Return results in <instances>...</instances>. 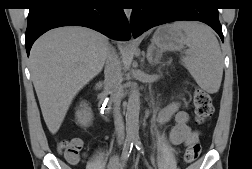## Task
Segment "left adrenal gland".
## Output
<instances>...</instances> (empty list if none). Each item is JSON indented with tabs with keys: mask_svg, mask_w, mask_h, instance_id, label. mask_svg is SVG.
Returning a JSON list of instances; mask_svg holds the SVG:
<instances>
[{
	"mask_svg": "<svg viewBox=\"0 0 252 169\" xmlns=\"http://www.w3.org/2000/svg\"><path fill=\"white\" fill-rule=\"evenodd\" d=\"M161 56H162V53L155 47L154 43L152 42L147 49V53H146L147 61L151 65L159 64Z\"/></svg>",
	"mask_w": 252,
	"mask_h": 169,
	"instance_id": "a2214340",
	"label": "left adrenal gland"
}]
</instances>
